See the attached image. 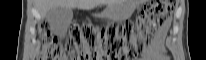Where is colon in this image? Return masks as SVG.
<instances>
[{
	"label": "colon",
	"mask_w": 206,
	"mask_h": 60,
	"mask_svg": "<svg viewBox=\"0 0 206 60\" xmlns=\"http://www.w3.org/2000/svg\"><path fill=\"white\" fill-rule=\"evenodd\" d=\"M174 9V1L156 0L150 1L142 10L135 25L126 22L121 26L110 25L104 29L91 26L74 27L70 38L63 45L59 38L53 35L47 23H41L39 34L42 41L41 59L62 60L69 54L77 51L80 56L91 57L92 46L98 40H105L107 53L112 60H120L124 56L134 57L136 51L144 48V39L151 27L164 23ZM137 31L139 39L135 49L123 51V46L131 39L133 32Z\"/></svg>",
	"instance_id": "5ec220e1"
}]
</instances>
